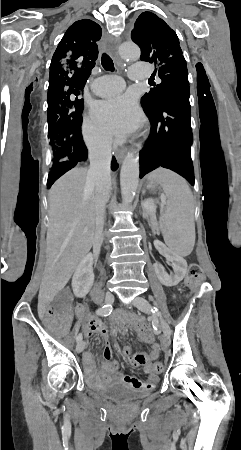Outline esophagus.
I'll return each mask as SVG.
<instances>
[{
    "label": "esophagus",
    "instance_id": "34e87169",
    "mask_svg": "<svg viewBox=\"0 0 241 450\" xmlns=\"http://www.w3.org/2000/svg\"><path fill=\"white\" fill-rule=\"evenodd\" d=\"M106 40H107V42L110 45L109 53H111L113 55V57L115 59H117V57H118V47H119V44H120L121 40L120 39H116L115 40V39H113V37H110V36H108ZM126 151H127L126 148H124V149L119 150L118 152H116V158L119 159V160H122L124 155H125V153H126Z\"/></svg>",
    "mask_w": 241,
    "mask_h": 450
}]
</instances>
